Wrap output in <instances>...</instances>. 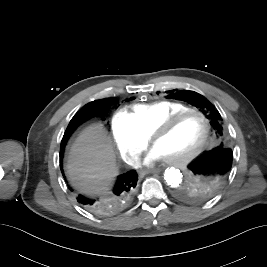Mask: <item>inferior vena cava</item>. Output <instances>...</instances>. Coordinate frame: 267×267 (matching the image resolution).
<instances>
[{
    "label": "inferior vena cava",
    "instance_id": "1",
    "mask_svg": "<svg viewBox=\"0 0 267 267\" xmlns=\"http://www.w3.org/2000/svg\"><path fill=\"white\" fill-rule=\"evenodd\" d=\"M127 163L135 168H138L140 166V160L137 157L129 158Z\"/></svg>",
    "mask_w": 267,
    "mask_h": 267
}]
</instances>
